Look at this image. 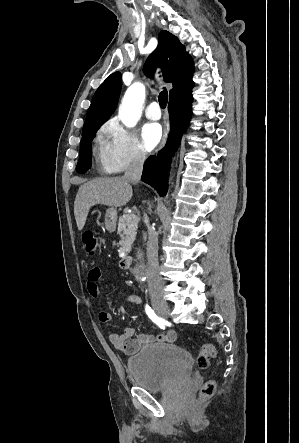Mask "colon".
<instances>
[{
	"label": "colon",
	"instance_id": "1",
	"mask_svg": "<svg viewBox=\"0 0 299 443\" xmlns=\"http://www.w3.org/2000/svg\"><path fill=\"white\" fill-rule=\"evenodd\" d=\"M82 242L87 254L94 255L99 247L98 237L93 230H85L82 233ZM216 356V350L211 344L202 345L197 357V364L201 369H206L210 365L212 358ZM216 390L215 380H208L204 383L200 392V399L205 400L212 397Z\"/></svg>",
	"mask_w": 299,
	"mask_h": 443
}]
</instances>
